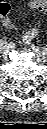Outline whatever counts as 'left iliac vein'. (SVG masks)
Segmentation results:
<instances>
[{"mask_svg": "<svg viewBox=\"0 0 47 129\" xmlns=\"http://www.w3.org/2000/svg\"><path fill=\"white\" fill-rule=\"evenodd\" d=\"M32 50L42 59L45 60L46 59V51L38 46L35 45H31Z\"/></svg>", "mask_w": 47, "mask_h": 129, "instance_id": "obj_1", "label": "left iliac vein"}]
</instances>
